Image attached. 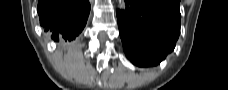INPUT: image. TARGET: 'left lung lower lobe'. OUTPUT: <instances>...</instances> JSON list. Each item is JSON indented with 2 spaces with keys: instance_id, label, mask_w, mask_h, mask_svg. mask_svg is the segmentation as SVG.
<instances>
[{
  "instance_id": "0a47b994",
  "label": "left lung lower lobe",
  "mask_w": 228,
  "mask_h": 90,
  "mask_svg": "<svg viewBox=\"0 0 228 90\" xmlns=\"http://www.w3.org/2000/svg\"><path fill=\"white\" fill-rule=\"evenodd\" d=\"M117 11L119 33L132 63H160L171 52L180 34L179 0H125Z\"/></svg>"
}]
</instances>
